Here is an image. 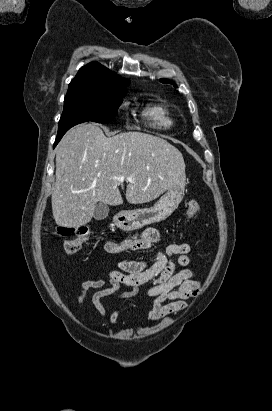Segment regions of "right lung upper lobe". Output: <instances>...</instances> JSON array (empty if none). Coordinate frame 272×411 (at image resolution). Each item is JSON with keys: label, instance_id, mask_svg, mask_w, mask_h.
Here are the masks:
<instances>
[{"label": "right lung upper lobe", "instance_id": "obj_1", "mask_svg": "<svg viewBox=\"0 0 272 411\" xmlns=\"http://www.w3.org/2000/svg\"><path fill=\"white\" fill-rule=\"evenodd\" d=\"M129 84V80H125L98 62H91L78 71L69 84L67 93L92 91L106 87L125 88Z\"/></svg>", "mask_w": 272, "mask_h": 411}]
</instances>
